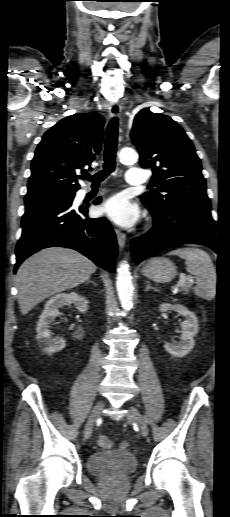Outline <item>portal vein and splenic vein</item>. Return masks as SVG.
Listing matches in <instances>:
<instances>
[{
  "label": "portal vein and splenic vein",
  "instance_id": "1",
  "mask_svg": "<svg viewBox=\"0 0 230 517\" xmlns=\"http://www.w3.org/2000/svg\"><path fill=\"white\" fill-rule=\"evenodd\" d=\"M193 282V279L191 277H187L185 275L180 276V280L178 281V287H181L186 284V282Z\"/></svg>",
  "mask_w": 230,
  "mask_h": 517
}]
</instances>
